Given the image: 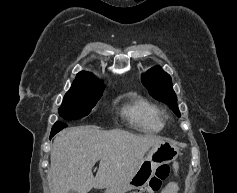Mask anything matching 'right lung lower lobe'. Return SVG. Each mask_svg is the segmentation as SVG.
<instances>
[{
  "label": "right lung lower lobe",
  "mask_w": 237,
  "mask_h": 193,
  "mask_svg": "<svg viewBox=\"0 0 237 193\" xmlns=\"http://www.w3.org/2000/svg\"><path fill=\"white\" fill-rule=\"evenodd\" d=\"M67 127V124L62 123V122H56L54 124V126L52 127L51 130V134H50V139L56 134L58 133L60 130H62L63 128Z\"/></svg>",
  "instance_id": "obj_1"
}]
</instances>
